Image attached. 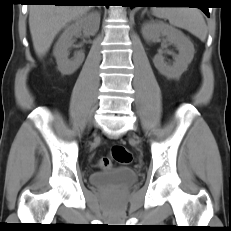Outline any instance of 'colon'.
<instances>
[{
	"label": "colon",
	"mask_w": 231,
	"mask_h": 231,
	"mask_svg": "<svg viewBox=\"0 0 231 231\" xmlns=\"http://www.w3.org/2000/svg\"><path fill=\"white\" fill-rule=\"evenodd\" d=\"M112 161L128 165L133 162V154L130 150L122 145H115L112 147L110 157L100 159L99 166L103 169H109L112 166Z\"/></svg>",
	"instance_id": "obj_1"
}]
</instances>
